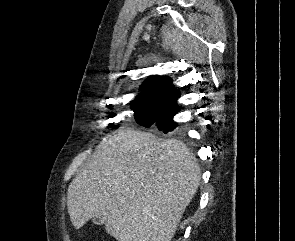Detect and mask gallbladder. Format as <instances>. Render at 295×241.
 I'll return each mask as SVG.
<instances>
[{
  "instance_id": "1",
  "label": "gallbladder",
  "mask_w": 295,
  "mask_h": 241,
  "mask_svg": "<svg viewBox=\"0 0 295 241\" xmlns=\"http://www.w3.org/2000/svg\"><path fill=\"white\" fill-rule=\"evenodd\" d=\"M93 223L96 224V225H102L103 224V221L99 217H94L93 218Z\"/></svg>"
}]
</instances>
